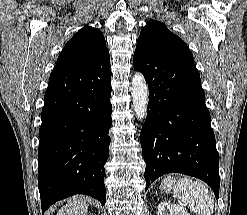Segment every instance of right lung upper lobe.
Wrapping results in <instances>:
<instances>
[{"label": "right lung upper lobe", "mask_w": 247, "mask_h": 215, "mask_svg": "<svg viewBox=\"0 0 247 215\" xmlns=\"http://www.w3.org/2000/svg\"><path fill=\"white\" fill-rule=\"evenodd\" d=\"M106 54L108 49L102 32L91 26H85L66 43L57 63L87 66Z\"/></svg>", "instance_id": "right-lung-upper-lobe-1"}]
</instances>
